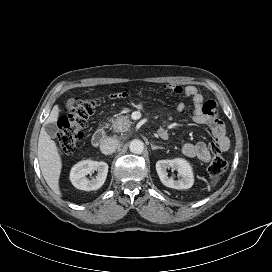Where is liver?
Segmentation results:
<instances>
[{
    "label": "liver",
    "instance_id": "liver-1",
    "mask_svg": "<svg viewBox=\"0 0 272 272\" xmlns=\"http://www.w3.org/2000/svg\"><path fill=\"white\" fill-rule=\"evenodd\" d=\"M58 116L59 106L55 105L45 124L56 122ZM38 159L46 183L56 195L61 196L59 178L62 169V160L55 141L51 140L50 136L45 131V127L41 128L39 135Z\"/></svg>",
    "mask_w": 272,
    "mask_h": 272
}]
</instances>
